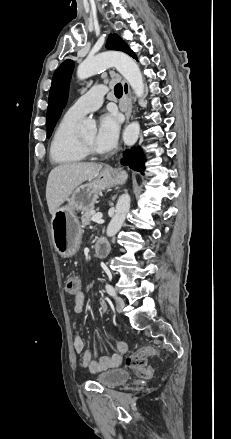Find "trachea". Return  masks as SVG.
Here are the masks:
<instances>
[{"label":"trachea","mask_w":231,"mask_h":439,"mask_svg":"<svg viewBox=\"0 0 231 439\" xmlns=\"http://www.w3.org/2000/svg\"><path fill=\"white\" fill-rule=\"evenodd\" d=\"M114 94L117 98H120L123 94V88L122 85L120 83H118L115 87H114Z\"/></svg>","instance_id":"obj_1"}]
</instances>
